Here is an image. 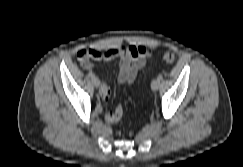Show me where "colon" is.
<instances>
[{
    "mask_svg": "<svg viewBox=\"0 0 243 167\" xmlns=\"http://www.w3.org/2000/svg\"><path fill=\"white\" fill-rule=\"evenodd\" d=\"M88 50H81L78 52V57H84L88 55ZM162 59L167 63H173L175 60V55L171 52H165L162 54Z\"/></svg>",
    "mask_w": 243,
    "mask_h": 167,
    "instance_id": "colon-1",
    "label": "colon"
}]
</instances>
